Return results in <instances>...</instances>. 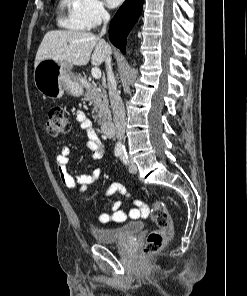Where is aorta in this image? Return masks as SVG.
<instances>
[{"instance_id": "obj_1", "label": "aorta", "mask_w": 247, "mask_h": 296, "mask_svg": "<svg viewBox=\"0 0 247 296\" xmlns=\"http://www.w3.org/2000/svg\"><path fill=\"white\" fill-rule=\"evenodd\" d=\"M118 147H121V144L120 143H118V145H117Z\"/></svg>"}]
</instances>
